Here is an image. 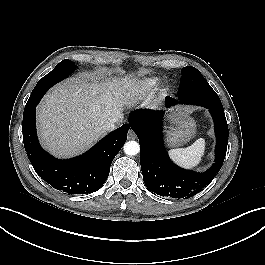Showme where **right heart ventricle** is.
Listing matches in <instances>:
<instances>
[{
	"instance_id": "1",
	"label": "right heart ventricle",
	"mask_w": 265,
	"mask_h": 265,
	"mask_svg": "<svg viewBox=\"0 0 265 265\" xmlns=\"http://www.w3.org/2000/svg\"><path fill=\"white\" fill-rule=\"evenodd\" d=\"M147 86H152V85H154L155 84V81H153V80H150V81H148L147 83Z\"/></svg>"
}]
</instances>
